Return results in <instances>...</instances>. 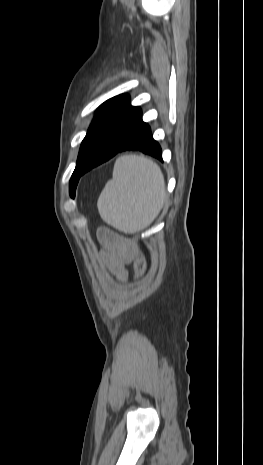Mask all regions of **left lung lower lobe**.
Instances as JSON below:
<instances>
[{"instance_id":"1","label":"left lung lower lobe","mask_w":263,"mask_h":465,"mask_svg":"<svg viewBox=\"0 0 263 465\" xmlns=\"http://www.w3.org/2000/svg\"><path fill=\"white\" fill-rule=\"evenodd\" d=\"M124 150H139L162 161L161 147L153 139L148 124L142 121L139 107L129 105L107 127L81 173L84 174Z\"/></svg>"}]
</instances>
